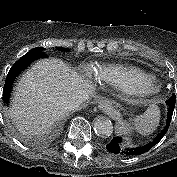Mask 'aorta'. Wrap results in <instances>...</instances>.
I'll use <instances>...</instances> for the list:
<instances>
[{"label":"aorta","instance_id":"762f6f07","mask_svg":"<svg viewBox=\"0 0 177 177\" xmlns=\"http://www.w3.org/2000/svg\"><path fill=\"white\" fill-rule=\"evenodd\" d=\"M94 130L100 136L109 137L113 133L112 122L106 117H98L94 121Z\"/></svg>","mask_w":177,"mask_h":177}]
</instances>
